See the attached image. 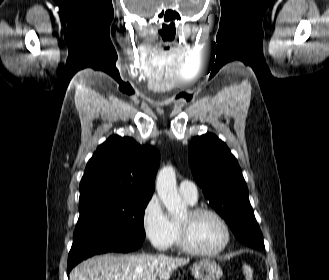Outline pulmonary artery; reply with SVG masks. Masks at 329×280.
<instances>
[{
    "instance_id": "obj_1",
    "label": "pulmonary artery",
    "mask_w": 329,
    "mask_h": 280,
    "mask_svg": "<svg viewBox=\"0 0 329 280\" xmlns=\"http://www.w3.org/2000/svg\"><path fill=\"white\" fill-rule=\"evenodd\" d=\"M180 194L190 202H196L198 199V188L195 183L189 180H183L179 184Z\"/></svg>"
}]
</instances>
